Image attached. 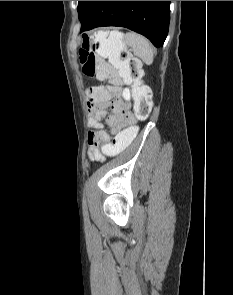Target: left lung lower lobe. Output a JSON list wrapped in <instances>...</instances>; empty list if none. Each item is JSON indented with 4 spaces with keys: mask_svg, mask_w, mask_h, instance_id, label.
<instances>
[{
    "mask_svg": "<svg viewBox=\"0 0 233 295\" xmlns=\"http://www.w3.org/2000/svg\"><path fill=\"white\" fill-rule=\"evenodd\" d=\"M169 6L170 1H97L81 32L101 26L126 27L160 47L168 33Z\"/></svg>",
    "mask_w": 233,
    "mask_h": 295,
    "instance_id": "left-lung-lower-lobe-1",
    "label": "left lung lower lobe"
}]
</instances>
